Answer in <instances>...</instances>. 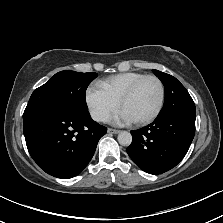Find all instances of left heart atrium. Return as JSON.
Masks as SVG:
<instances>
[{"mask_svg": "<svg viewBox=\"0 0 223 223\" xmlns=\"http://www.w3.org/2000/svg\"><path fill=\"white\" fill-rule=\"evenodd\" d=\"M133 119L123 109L118 110L112 118L116 124H122L132 121Z\"/></svg>", "mask_w": 223, "mask_h": 223, "instance_id": "39dd6f15", "label": "left heart atrium"}]
</instances>
